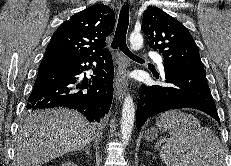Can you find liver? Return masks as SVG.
<instances>
[{
  "mask_svg": "<svg viewBox=\"0 0 231 166\" xmlns=\"http://www.w3.org/2000/svg\"><path fill=\"white\" fill-rule=\"evenodd\" d=\"M94 130L79 113L56 108L33 113L19 128L16 166H42L66 153L83 149Z\"/></svg>",
  "mask_w": 231,
  "mask_h": 166,
  "instance_id": "1",
  "label": "liver"
}]
</instances>
